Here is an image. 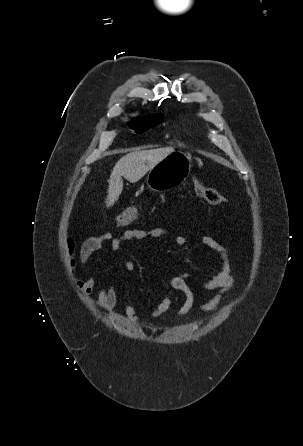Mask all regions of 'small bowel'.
Wrapping results in <instances>:
<instances>
[{
    "label": "small bowel",
    "mask_w": 303,
    "mask_h": 446,
    "mask_svg": "<svg viewBox=\"0 0 303 446\" xmlns=\"http://www.w3.org/2000/svg\"><path fill=\"white\" fill-rule=\"evenodd\" d=\"M169 233V230L164 227H155L151 229L132 228L125 230L120 236L104 233L100 236L90 237L81 244L79 259L82 265L87 267L93 253L100 250L105 242H110L112 250L118 251L127 241L160 239L168 236ZM187 242L188 239L183 235H176L173 237V243L177 247H183ZM201 243L212 250L218 258V269L216 274L201 284L202 288L208 291L219 289L218 293L211 300L201 306L203 312H212L219 309L223 300V295L233 287L234 279L231 273L228 250L210 236L202 237ZM66 250L69 257V271L73 274L77 262L73 257L75 243L71 238H68L66 241ZM124 268L127 272H132L135 269V263L132 260H127L124 262ZM189 276L190 274L187 272H180L164 281V287L167 290H176L184 295V302L176 314L179 319L183 318L191 310L194 304V294L187 283ZM75 285L83 293L90 294L95 288L96 281L93 276H89L86 279H75ZM116 303L117 294L115 287L113 285L102 287L97 297L98 307L106 311L112 317L117 318V313L114 310ZM170 305L171 298L166 294L161 302L151 311L150 318L161 316L170 308ZM124 316L132 323L142 321V318L137 314L133 303H130L125 307Z\"/></svg>",
    "instance_id": "c3829d8e"
}]
</instances>
